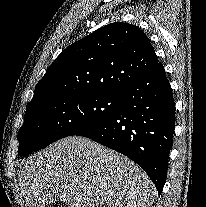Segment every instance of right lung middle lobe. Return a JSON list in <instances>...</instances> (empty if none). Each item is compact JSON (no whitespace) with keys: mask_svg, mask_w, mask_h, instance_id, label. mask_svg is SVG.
<instances>
[{"mask_svg":"<svg viewBox=\"0 0 206 207\" xmlns=\"http://www.w3.org/2000/svg\"><path fill=\"white\" fill-rule=\"evenodd\" d=\"M121 101V94L66 96L27 108L18 133V154L38 151L99 124L119 109Z\"/></svg>","mask_w":206,"mask_h":207,"instance_id":"obj_1","label":"right lung middle lobe"}]
</instances>
